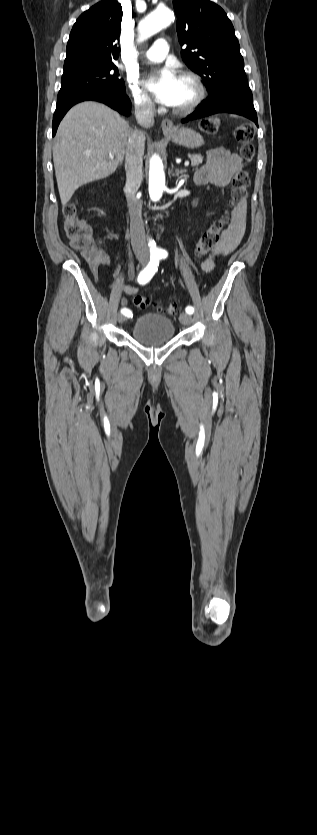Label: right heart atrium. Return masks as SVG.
<instances>
[{"label":"right heart atrium","instance_id":"right-heart-atrium-1","mask_svg":"<svg viewBox=\"0 0 317 835\" xmlns=\"http://www.w3.org/2000/svg\"><path fill=\"white\" fill-rule=\"evenodd\" d=\"M127 84L136 110L143 114L152 113L154 111V104L150 97L138 87L134 79L129 78Z\"/></svg>","mask_w":317,"mask_h":835}]
</instances>
